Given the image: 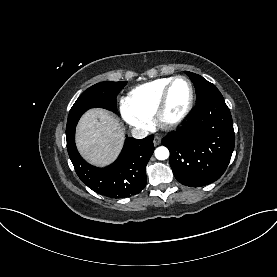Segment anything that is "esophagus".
Listing matches in <instances>:
<instances>
[{
	"mask_svg": "<svg viewBox=\"0 0 277 277\" xmlns=\"http://www.w3.org/2000/svg\"><path fill=\"white\" fill-rule=\"evenodd\" d=\"M154 146H157L161 143V137L160 136H155L153 140Z\"/></svg>",
	"mask_w": 277,
	"mask_h": 277,
	"instance_id": "obj_1",
	"label": "esophagus"
}]
</instances>
